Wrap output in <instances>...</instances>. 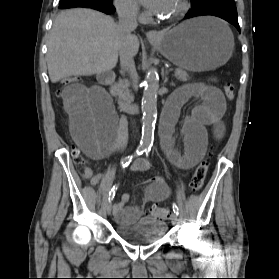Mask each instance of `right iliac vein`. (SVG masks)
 <instances>
[{
	"label": "right iliac vein",
	"instance_id": "right-iliac-vein-1",
	"mask_svg": "<svg viewBox=\"0 0 279 279\" xmlns=\"http://www.w3.org/2000/svg\"><path fill=\"white\" fill-rule=\"evenodd\" d=\"M106 212L108 215H110L112 212V202L111 201H109L106 205Z\"/></svg>",
	"mask_w": 279,
	"mask_h": 279
}]
</instances>
